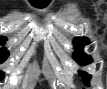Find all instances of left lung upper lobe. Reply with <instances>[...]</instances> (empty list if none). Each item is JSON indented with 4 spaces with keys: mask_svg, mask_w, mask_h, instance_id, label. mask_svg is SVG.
Here are the masks:
<instances>
[{
    "mask_svg": "<svg viewBox=\"0 0 107 89\" xmlns=\"http://www.w3.org/2000/svg\"><path fill=\"white\" fill-rule=\"evenodd\" d=\"M89 43V40L85 37L82 38H75L73 41V44L75 45V52L73 53L74 59L81 65H86L92 62V59L90 56L86 55L83 51L82 48ZM82 81L86 84L89 85V81L91 78V75L81 72Z\"/></svg>",
    "mask_w": 107,
    "mask_h": 89,
    "instance_id": "left-lung-upper-lobe-1",
    "label": "left lung upper lobe"
}]
</instances>
